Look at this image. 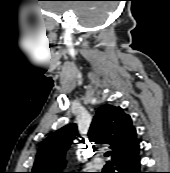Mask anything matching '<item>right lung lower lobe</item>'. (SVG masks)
Listing matches in <instances>:
<instances>
[{"label": "right lung lower lobe", "mask_w": 170, "mask_h": 173, "mask_svg": "<svg viewBox=\"0 0 170 173\" xmlns=\"http://www.w3.org/2000/svg\"><path fill=\"white\" fill-rule=\"evenodd\" d=\"M139 143L112 159L116 173H143L140 171Z\"/></svg>", "instance_id": "right-lung-lower-lobe-1"}]
</instances>
